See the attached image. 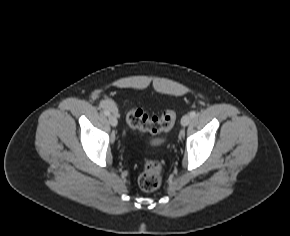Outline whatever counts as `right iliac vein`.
I'll return each instance as SVG.
<instances>
[{"mask_svg":"<svg viewBox=\"0 0 290 236\" xmlns=\"http://www.w3.org/2000/svg\"><path fill=\"white\" fill-rule=\"evenodd\" d=\"M109 122H110V124H111L113 127H116L117 124H118V120H117L116 115H110V116H109Z\"/></svg>","mask_w":290,"mask_h":236,"instance_id":"right-iliac-vein-1","label":"right iliac vein"}]
</instances>
